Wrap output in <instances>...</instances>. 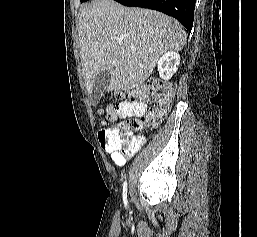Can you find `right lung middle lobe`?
<instances>
[{
	"mask_svg": "<svg viewBox=\"0 0 257 237\" xmlns=\"http://www.w3.org/2000/svg\"><path fill=\"white\" fill-rule=\"evenodd\" d=\"M81 1V3H83V2H86V1H88V0H80Z\"/></svg>",
	"mask_w": 257,
	"mask_h": 237,
	"instance_id": "dd1d6c3e",
	"label": "right lung middle lobe"
}]
</instances>
